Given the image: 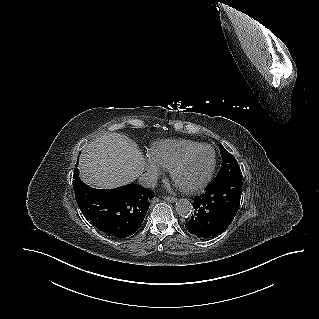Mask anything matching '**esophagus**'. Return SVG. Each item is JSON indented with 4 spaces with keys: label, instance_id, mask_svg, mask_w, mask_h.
<instances>
[{
    "label": "esophagus",
    "instance_id": "esophagus-1",
    "mask_svg": "<svg viewBox=\"0 0 319 319\" xmlns=\"http://www.w3.org/2000/svg\"><path fill=\"white\" fill-rule=\"evenodd\" d=\"M164 199H165L166 201H168V202H171V203H174V202L177 201L176 198H174V197H169V196H165Z\"/></svg>",
    "mask_w": 319,
    "mask_h": 319
}]
</instances>
